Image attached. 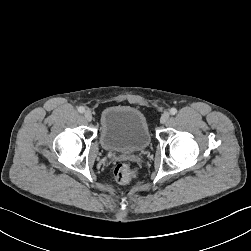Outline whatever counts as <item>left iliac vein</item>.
Segmentation results:
<instances>
[{
	"instance_id": "1",
	"label": "left iliac vein",
	"mask_w": 251,
	"mask_h": 251,
	"mask_svg": "<svg viewBox=\"0 0 251 251\" xmlns=\"http://www.w3.org/2000/svg\"><path fill=\"white\" fill-rule=\"evenodd\" d=\"M170 117V114L168 112H164L160 118V122L162 124L166 123Z\"/></svg>"
}]
</instances>
